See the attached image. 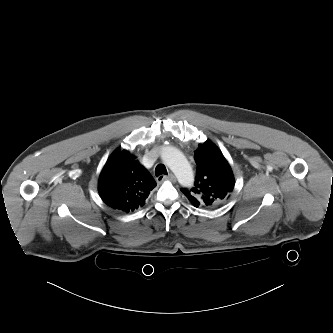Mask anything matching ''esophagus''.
Segmentation results:
<instances>
[{"instance_id":"34e87169","label":"esophagus","mask_w":333,"mask_h":333,"mask_svg":"<svg viewBox=\"0 0 333 333\" xmlns=\"http://www.w3.org/2000/svg\"><path fill=\"white\" fill-rule=\"evenodd\" d=\"M163 181H171V182H175L176 181V177L173 174H170L168 176L165 175H160L157 178V182L158 183H162Z\"/></svg>"}]
</instances>
